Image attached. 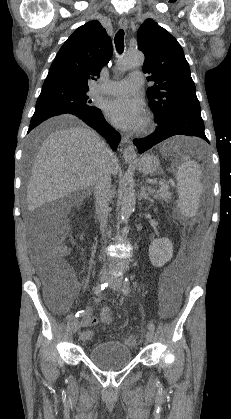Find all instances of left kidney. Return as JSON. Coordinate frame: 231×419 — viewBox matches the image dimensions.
<instances>
[{"instance_id":"1","label":"left kidney","mask_w":231,"mask_h":419,"mask_svg":"<svg viewBox=\"0 0 231 419\" xmlns=\"http://www.w3.org/2000/svg\"><path fill=\"white\" fill-rule=\"evenodd\" d=\"M173 256V244L168 238L155 239L149 246V258L153 266L163 267Z\"/></svg>"}]
</instances>
